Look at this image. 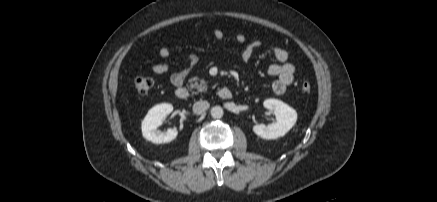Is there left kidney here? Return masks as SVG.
<instances>
[{"mask_svg":"<svg viewBox=\"0 0 437 202\" xmlns=\"http://www.w3.org/2000/svg\"><path fill=\"white\" fill-rule=\"evenodd\" d=\"M264 107L273 112L276 122L269 125L256 124L253 131L263 139H276L284 136L296 123L297 112L284 102L277 99H267Z\"/></svg>","mask_w":437,"mask_h":202,"instance_id":"5707ae66","label":"left kidney"}]
</instances>
